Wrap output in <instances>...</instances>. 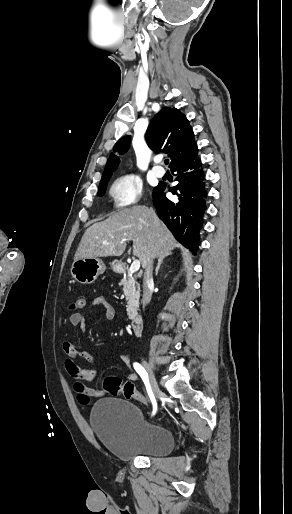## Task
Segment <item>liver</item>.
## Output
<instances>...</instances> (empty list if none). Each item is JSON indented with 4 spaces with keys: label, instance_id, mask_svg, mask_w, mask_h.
<instances>
[{
    "label": "liver",
    "instance_id": "obj_1",
    "mask_svg": "<svg viewBox=\"0 0 292 514\" xmlns=\"http://www.w3.org/2000/svg\"><path fill=\"white\" fill-rule=\"evenodd\" d=\"M122 240H124L122 244ZM127 240L133 242V256L142 268L153 258L170 256L176 242L154 210L133 206L111 214L104 222H97L86 230L74 260L122 256Z\"/></svg>",
    "mask_w": 292,
    "mask_h": 514
}]
</instances>
